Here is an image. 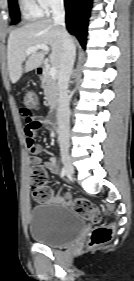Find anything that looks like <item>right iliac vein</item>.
<instances>
[{"label": "right iliac vein", "instance_id": "obj_1", "mask_svg": "<svg viewBox=\"0 0 134 281\" xmlns=\"http://www.w3.org/2000/svg\"><path fill=\"white\" fill-rule=\"evenodd\" d=\"M61 156H62V161H63L64 167L66 170V175L69 179H72V176L74 174V168L71 163L67 147L61 148Z\"/></svg>", "mask_w": 134, "mask_h": 281}]
</instances>
